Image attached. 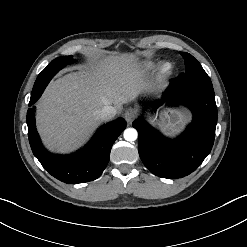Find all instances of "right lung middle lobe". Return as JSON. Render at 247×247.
<instances>
[{
  "instance_id": "1",
  "label": "right lung middle lobe",
  "mask_w": 247,
  "mask_h": 247,
  "mask_svg": "<svg viewBox=\"0 0 247 247\" xmlns=\"http://www.w3.org/2000/svg\"><path fill=\"white\" fill-rule=\"evenodd\" d=\"M73 62L74 60L72 59V56H67L58 57L48 64V66L38 75L33 86L31 98H34L38 93L43 92L52 77L64 66Z\"/></svg>"
}]
</instances>
